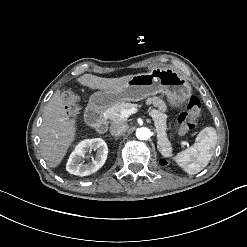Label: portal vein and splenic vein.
<instances>
[{"label":"portal vein and splenic vein","instance_id":"obj_1","mask_svg":"<svg viewBox=\"0 0 247 247\" xmlns=\"http://www.w3.org/2000/svg\"><path fill=\"white\" fill-rule=\"evenodd\" d=\"M135 112H136L135 108L125 110L122 112V116L123 117H129L130 115L134 114ZM179 144H182V147H186L189 145V142L188 141H179Z\"/></svg>","mask_w":247,"mask_h":247}]
</instances>
